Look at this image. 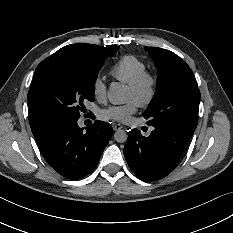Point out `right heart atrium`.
Wrapping results in <instances>:
<instances>
[{
  "mask_svg": "<svg viewBox=\"0 0 233 233\" xmlns=\"http://www.w3.org/2000/svg\"><path fill=\"white\" fill-rule=\"evenodd\" d=\"M107 87L105 82L97 77L93 81V94L97 99H103L106 96Z\"/></svg>",
  "mask_w": 233,
  "mask_h": 233,
  "instance_id": "obj_1",
  "label": "right heart atrium"
}]
</instances>
